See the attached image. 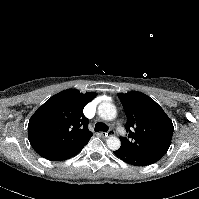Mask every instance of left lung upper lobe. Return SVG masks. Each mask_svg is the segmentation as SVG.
<instances>
[{"label":"left lung upper lobe","instance_id":"1","mask_svg":"<svg viewBox=\"0 0 199 199\" xmlns=\"http://www.w3.org/2000/svg\"><path fill=\"white\" fill-rule=\"evenodd\" d=\"M127 116L128 137H120L121 147L158 161L169 149L173 123L164 110L141 92L119 93Z\"/></svg>","mask_w":199,"mask_h":199}]
</instances>
